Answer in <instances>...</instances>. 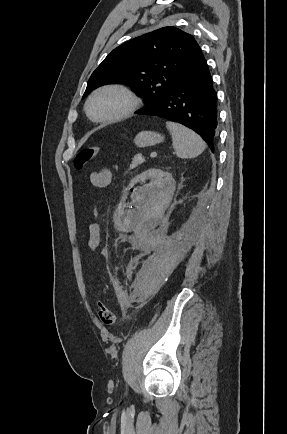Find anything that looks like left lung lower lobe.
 Returning <instances> with one entry per match:
<instances>
[{
	"label": "left lung lower lobe",
	"mask_w": 287,
	"mask_h": 434,
	"mask_svg": "<svg viewBox=\"0 0 287 434\" xmlns=\"http://www.w3.org/2000/svg\"><path fill=\"white\" fill-rule=\"evenodd\" d=\"M217 95L207 62L202 56L176 77L153 105L137 114L162 117L198 133L213 151L217 138Z\"/></svg>",
	"instance_id": "obj_1"
}]
</instances>
